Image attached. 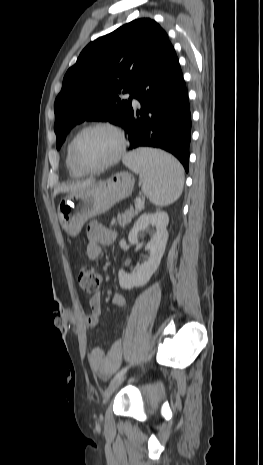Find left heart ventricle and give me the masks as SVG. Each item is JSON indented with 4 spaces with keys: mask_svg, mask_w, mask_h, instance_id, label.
Here are the masks:
<instances>
[{
    "mask_svg": "<svg viewBox=\"0 0 263 465\" xmlns=\"http://www.w3.org/2000/svg\"><path fill=\"white\" fill-rule=\"evenodd\" d=\"M118 141L115 135L102 128L85 132L76 145L79 162L86 167H96L109 161L116 153Z\"/></svg>",
    "mask_w": 263,
    "mask_h": 465,
    "instance_id": "obj_1",
    "label": "left heart ventricle"
}]
</instances>
